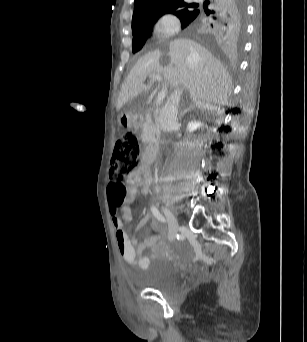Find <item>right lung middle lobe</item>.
I'll list each match as a JSON object with an SVG mask.
<instances>
[{"mask_svg":"<svg viewBox=\"0 0 307 342\" xmlns=\"http://www.w3.org/2000/svg\"><path fill=\"white\" fill-rule=\"evenodd\" d=\"M150 36V32H144L137 35H133L132 47L133 53L138 52L145 44L147 38Z\"/></svg>","mask_w":307,"mask_h":342,"instance_id":"1","label":"right lung middle lobe"}]
</instances>
